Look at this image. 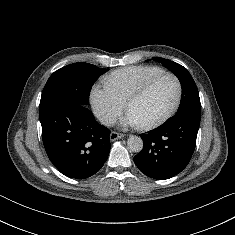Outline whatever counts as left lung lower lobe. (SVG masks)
Segmentation results:
<instances>
[{
    "label": "left lung lower lobe",
    "mask_w": 235,
    "mask_h": 235,
    "mask_svg": "<svg viewBox=\"0 0 235 235\" xmlns=\"http://www.w3.org/2000/svg\"><path fill=\"white\" fill-rule=\"evenodd\" d=\"M200 117L197 114L173 117L159 128L142 134L144 147L134 157L139 170L159 180L180 173L193 155Z\"/></svg>",
    "instance_id": "0a47b994"
}]
</instances>
